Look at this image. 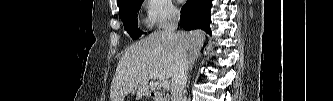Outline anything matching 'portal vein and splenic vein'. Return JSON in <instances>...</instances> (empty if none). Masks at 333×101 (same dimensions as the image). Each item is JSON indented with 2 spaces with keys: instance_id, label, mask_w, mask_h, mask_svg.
I'll return each instance as SVG.
<instances>
[{
  "instance_id": "portal-vein-and-splenic-vein-1",
  "label": "portal vein and splenic vein",
  "mask_w": 333,
  "mask_h": 101,
  "mask_svg": "<svg viewBox=\"0 0 333 101\" xmlns=\"http://www.w3.org/2000/svg\"><path fill=\"white\" fill-rule=\"evenodd\" d=\"M149 77L151 79H158V75L156 74H150ZM160 84L164 89H167L169 87V82L167 80H163L162 82H160Z\"/></svg>"
}]
</instances>
